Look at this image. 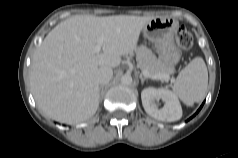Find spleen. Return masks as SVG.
I'll return each mask as SVG.
<instances>
[{
	"mask_svg": "<svg viewBox=\"0 0 238 158\" xmlns=\"http://www.w3.org/2000/svg\"><path fill=\"white\" fill-rule=\"evenodd\" d=\"M207 85L206 64L201 57H196L179 72L172 91L184 104L192 106L203 99Z\"/></svg>",
	"mask_w": 238,
	"mask_h": 158,
	"instance_id": "1",
	"label": "spleen"
}]
</instances>
